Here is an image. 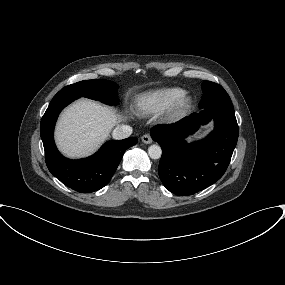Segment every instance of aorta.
I'll list each match as a JSON object with an SVG mask.
<instances>
[{
  "label": "aorta",
  "mask_w": 285,
  "mask_h": 285,
  "mask_svg": "<svg viewBox=\"0 0 285 285\" xmlns=\"http://www.w3.org/2000/svg\"><path fill=\"white\" fill-rule=\"evenodd\" d=\"M162 150L159 145L153 144L148 148V155L152 159H159L161 157Z\"/></svg>",
  "instance_id": "aorta-1"
}]
</instances>
